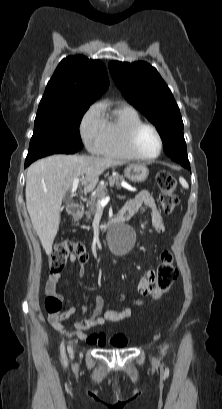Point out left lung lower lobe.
<instances>
[{
    "mask_svg": "<svg viewBox=\"0 0 222 409\" xmlns=\"http://www.w3.org/2000/svg\"><path fill=\"white\" fill-rule=\"evenodd\" d=\"M182 166L190 170V163L189 162H183Z\"/></svg>",
    "mask_w": 222,
    "mask_h": 409,
    "instance_id": "obj_1",
    "label": "left lung lower lobe"
}]
</instances>
